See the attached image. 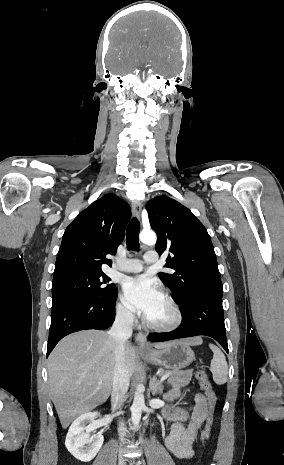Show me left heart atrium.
Returning <instances> with one entry per match:
<instances>
[{"label":"left heart atrium","mask_w":284,"mask_h":465,"mask_svg":"<svg viewBox=\"0 0 284 465\" xmlns=\"http://www.w3.org/2000/svg\"><path fill=\"white\" fill-rule=\"evenodd\" d=\"M162 296L155 281L147 276L129 278L123 285L124 303L147 319L162 300Z\"/></svg>","instance_id":"1"}]
</instances>
